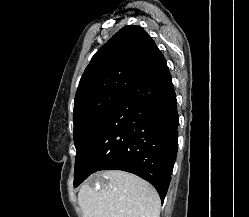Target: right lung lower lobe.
<instances>
[{
	"instance_id": "98d812e1",
	"label": "right lung lower lobe",
	"mask_w": 249,
	"mask_h": 217,
	"mask_svg": "<svg viewBox=\"0 0 249 217\" xmlns=\"http://www.w3.org/2000/svg\"><path fill=\"white\" fill-rule=\"evenodd\" d=\"M177 101L165 58L116 105L79 165L77 187L99 170H122L150 182L164 201L176 159Z\"/></svg>"
}]
</instances>
